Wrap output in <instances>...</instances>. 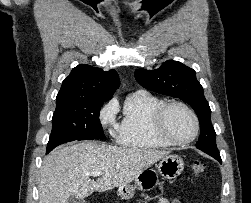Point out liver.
I'll return each instance as SVG.
<instances>
[{"mask_svg": "<svg viewBox=\"0 0 251 203\" xmlns=\"http://www.w3.org/2000/svg\"><path fill=\"white\" fill-rule=\"evenodd\" d=\"M169 151L125 148L92 141L59 146L43 160L39 203H68L71 196L84 199L129 184ZM102 172L96 181L93 172Z\"/></svg>", "mask_w": 251, "mask_h": 203, "instance_id": "6515ba94", "label": "liver"}]
</instances>
